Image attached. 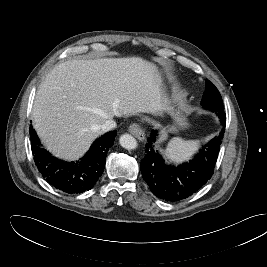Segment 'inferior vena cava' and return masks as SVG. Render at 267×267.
Returning <instances> with one entry per match:
<instances>
[{
  "instance_id": "602c4592",
  "label": "inferior vena cava",
  "mask_w": 267,
  "mask_h": 267,
  "mask_svg": "<svg viewBox=\"0 0 267 267\" xmlns=\"http://www.w3.org/2000/svg\"><path fill=\"white\" fill-rule=\"evenodd\" d=\"M116 127V122L114 120H106L101 125V131L102 132H108Z\"/></svg>"
}]
</instances>
